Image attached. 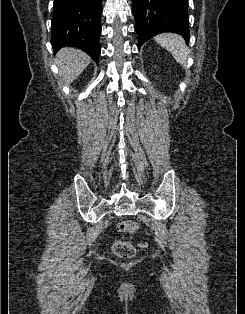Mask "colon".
I'll return each mask as SVG.
<instances>
[{
  "label": "colon",
  "instance_id": "obj_1",
  "mask_svg": "<svg viewBox=\"0 0 245 314\" xmlns=\"http://www.w3.org/2000/svg\"><path fill=\"white\" fill-rule=\"evenodd\" d=\"M118 229L121 232H127V233H136L139 229V226L137 222L133 220H127V221H122L118 225ZM142 247H144V244H141ZM112 251L113 253L123 259H130L135 256L136 254V248L135 246L124 240H116L112 244Z\"/></svg>",
  "mask_w": 245,
  "mask_h": 314
}]
</instances>
